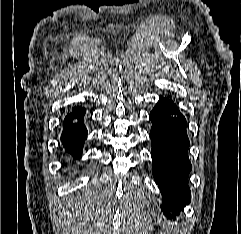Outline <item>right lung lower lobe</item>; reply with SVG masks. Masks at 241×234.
Segmentation results:
<instances>
[{
	"label": "right lung lower lobe",
	"mask_w": 241,
	"mask_h": 234,
	"mask_svg": "<svg viewBox=\"0 0 241 234\" xmlns=\"http://www.w3.org/2000/svg\"><path fill=\"white\" fill-rule=\"evenodd\" d=\"M85 109L74 107L64 119L61 141L65 152L70 153L76 159L82 154L84 141L87 137V129L83 123Z\"/></svg>",
	"instance_id": "obj_1"
}]
</instances>
